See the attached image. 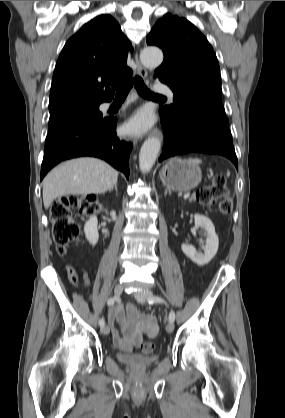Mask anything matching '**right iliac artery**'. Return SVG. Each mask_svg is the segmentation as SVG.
<instances>
[{
  "mask_svg": "<svg viewBox=\"0 0 285 418\" xmlns=\"http://www.w3.org/2000/svg\"><path fill=\"white\" fill-rule=\"evenodd\" d=\"M115 301H116V298H115V297H112V298H110V299L107 301V304H108L109 306H111V305H113V304L115 303ZM104 324H105L104 319H100V320H99V325L102 327V326H104Z\"/></svg>",
  "mask_w": 285,
  "mask_h": 418,
  "instance_id": "right-iliac-artery-1",
  "label": "right iliac artery"
}]
</instances>
